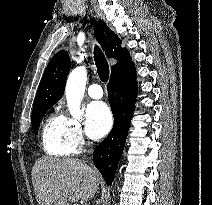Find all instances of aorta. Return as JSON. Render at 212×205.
I'll use <instances>...</instances> for the list:
<instances>
[{
    "instance_id": "obj_1",
    "label": "aorta",
    "mask_w": 212,
    "mask_h": 205,
    "mask_svg": "<svg viewBox=\"0 0 212 205\" xmlns=\"http://www.w3.org/2000/svg\"><path fill=\"white\" fill-rule=\"evenodd\" d=\"M86 80L87 69L80 66L72 70L66 82L65 96L67 105L70 113L75 117L80 115V104L84 96Z\"/></svg>"
}]
</instances>
